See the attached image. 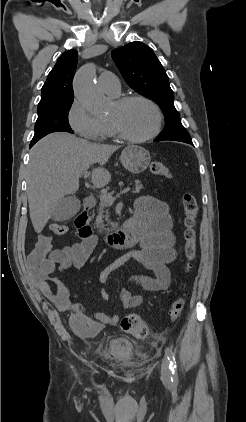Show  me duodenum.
Masks as SVG:
<instances>
[{"label":"duodenum","instance_id":"410a0bca","mask_svg":"<svg viewBox=\"0 0 246 422\" xmlns=\"http://www.w3.org/2000/svg\"><path fill=\"white\" fill-rule=\"evenodd\" d=\"M96 200L93 196L84 199V210L75 219V226L81 238L86 239L94 236L89 225V211L95 206ZM142 237V229L138 220L133 217L118 228L107 234L103 240L112 249H125L134 246Z\"/></svg>","mask_w":246,"mask_h":422}]
</instances>
